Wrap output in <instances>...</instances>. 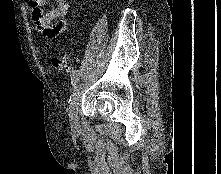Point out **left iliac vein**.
I'll list each match as a JSON object with an SVG mask.
<instances>
[{
    "instance_id": "1",
    "label": "left iliac vein",
    "mask_w": 221,
    "mask_h": 174,
    "mask_svg": "<svg viewBox=\"0 0 221 174\" xmlns=\"http://www.w3.org/2000/svg\"><path fill=\"white\" fill-rule=\"evenodd\" d=\"M81 100V83L79 82L74 89L72 100L69 106V120L70 125L73 130H78L80 128L78 120V107Z\"/></svg>"
}]
</instances>
